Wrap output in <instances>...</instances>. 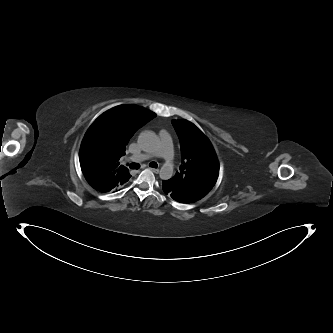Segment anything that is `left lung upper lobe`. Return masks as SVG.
I'll list each match as a JSON object with an SVG mask.
<instances>
[{
  "mask_svg": "<svg viewBox=\"0 0 333 333\" xmlns=\"http://www.w3.org/2000/svg\"><path fill=\"white\" fill-rule=\"evenodd\" d=\"M181 145L182 165L169 179L171 190L186 199L196 202L202 199L215 185L219 164L209 139L193 123L173 120Z\"/></svg>",
  "mask_w": 333,
  "mask_h": 333,
  "instance_id": "obj_1",
  "label": "left lung upper lobe"
}]
</instances>
